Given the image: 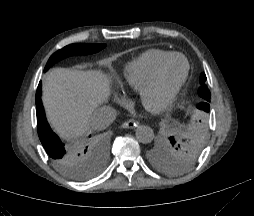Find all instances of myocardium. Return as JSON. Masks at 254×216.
Masks as SVG:
<instances>
[{"instance_id": "myocardium-1", "label": "myocardium", "mask_w": 254, "mask_h": 216, "mask_svg": "<svg viewBox=\"0 0 254 216\" xmlns=\"http://www.w3.org/2000/svg\"><path fill=\"white\" fill-rule=\"evenodd\" d=\"M181 58L185 63V69L180 77V79L177 81V83L168 91V93L164 96L162 101L155 106H151L147 103L146 97L153 92L162 75L163 70L165 67L174 59ZM190 70V64L187 60V58L179 53L171 54L168 58L163 60L155 69L150 81L147 83V85L140 91L139 93V99L142 104H145L148 108H150L153 112L159 113L167 110L174 102L175 98L177 97L178 93L180 92L181 88L183 87L184 83L187 80L188 74Z\"/></svg>"}]
</instances>
